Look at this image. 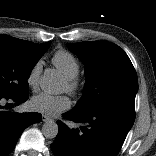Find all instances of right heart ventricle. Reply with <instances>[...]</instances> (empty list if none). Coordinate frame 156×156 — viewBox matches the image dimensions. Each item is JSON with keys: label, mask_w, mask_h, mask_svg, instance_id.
<instances>
[{"label": "right heart ventricle", "mask_w": 156, "mask_h": 156, "mask_svg": "<svg viewBox=\"0 0 156 156\" xmlns=\"http://www.w3.org/2000/svg\"><path fill=\"white\" fill-rule=\"evenodd\" d=\"M53 65L63 74L64 77L78 75L80 64L77 58L67 50H58L52 56Z\"/></svg>", "instance_id": "1"}]
</instances>
